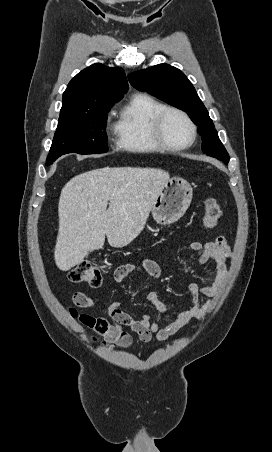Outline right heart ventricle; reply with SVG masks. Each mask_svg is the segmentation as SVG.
Masks as SVG:
<instances>
[{
    "mask_svg": "<svg viewBox=\"0 0 272 452\" xmlns=\"http://www.w3.org/2000/svg\"><path fill=\"white\" fill-rule=\"evenodd\" d=\"M164 105L146 94L135 95L122 110L116 124L118 145L131 152L152 153L163 150L152 133V120Z\"/></svg>",
    "mask_w": 272,
    "mask_h": 452,
    "instance_id": "obj_1",
    "label": "right heart ventricle"
}]
</instances>
